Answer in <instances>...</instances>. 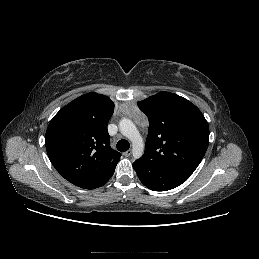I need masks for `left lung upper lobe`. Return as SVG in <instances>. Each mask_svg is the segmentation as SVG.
<instances>
[{
  "label": "left lung upper lobe",
  "mask_w": 259,
  "mask_h": 259,
  "mask_svg": "<svg viewBox=\"0 0 259 259\" xmlns=\"http://www.w3.org/2000/svg\"><path fill=\"white\" fill-rule=\"evenodd\" d=\"M138 106L149 119L141 158L192 174L209 144V127L201 111L187 99L165 91Z\"/></svg>",
  "instance_id": "left-lung-upper-lobe-1"
}]
</instances>
